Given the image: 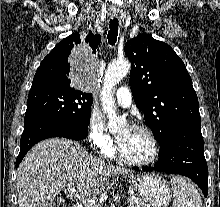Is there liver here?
<instances>
[{
  "label": "liver",
  "mask_w": 220,
  "mask_h": 207,
  "mask_svg": "<svg viewBox=\"0 0 220 207\" xmlns=\"http://www.w3.org/2000/svg\"><path fill=\"white\" fill-rule=\"evenodd\" d=\"M128 173L96 159L78 142L46 139L27 153L17 169L18 207H53L56 196L69 184L84 196H96L109 176Z\"/></svg>",
  "instance_id": "obj_1"
}]
</instances>
